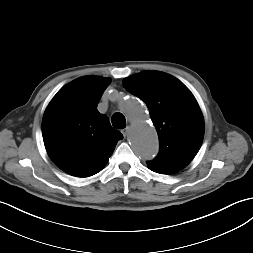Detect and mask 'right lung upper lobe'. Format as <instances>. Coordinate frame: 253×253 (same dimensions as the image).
Listing matches in <instances>:
<instances>
[{
    "label": "right lung upper lobe",
    "instance_id": "cb5924a9",
    "mask_svg": "<svg viewBox=\"0 0 253 253\" xmlns=\"http://www.w3.org/2000/svg\"><path fill=\"white\" fill-rule=\"evenodd\" d=\"M110 78L84 76L65 85L49 103L42 135L51 160L66 173L89 177L104 168L123 135L97 104Z\"/></svg>",
    "mask_w": 253,
    "mask_h": 253
}]
</instances>
